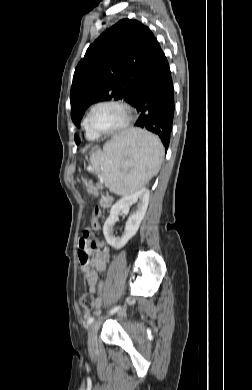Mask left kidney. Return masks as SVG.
I'll list each match as a JSON object with an SVG mask.
<instances>
[{
  "label": "left kidney",
  "mask_w": 252,
  "mask_h": 390,
  "mask_svg": "<svg viewBox=\"0 0 252 390\" xmlns=\"http://www.w3.org/2000/svg\"><path fill=\"white\" fill-rule=\"evenodd\" d=\"M138 202L137 209L132 213L126 222L124 234L121 237L113 235V226L122 210H128L129 207ZM149 202V190L141 188L140 190L123 197L116 202L110 211V215L104 223L103 233L107 243L115 249H120L136 234L140 223L143 220Z\"/></svg>",
  "instance_id": "left-kidney-1"
}]
</instances>
